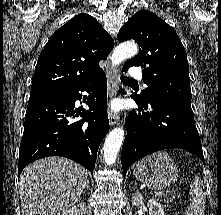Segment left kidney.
Here are the masks:
<instances>
[{
	"label": "left kidney",
	"instance_id": "1",
	"mask_svg": "<svg viewBox=\"0 0 221 215\" xmlns=\"http://www.w3.org/2000/svg\"><path fill=\"white\" fill-rule=\"evenodd\" d=\"M144 201V197L139 194V193H135L132 196V204L134 206H139L143 203ZM147 207L149 209V215H165V211L163 206L156 200L154 199H150L147 202Z\"/></svg>",
	"mask_w": 221,
	"mask_h": 215
}]
</instances>
